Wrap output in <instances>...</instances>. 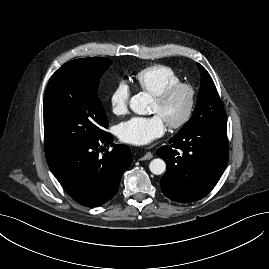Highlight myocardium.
Returning a JSON list of instances; mask_svg holds the SVG:
<instances>
[{"instance_id": "myocardium-1", "label": "myocardium", "mask_w": 269, "mask_h": 269, "mask_svg": "<svg viewBox=\"0 0 269 269\" xmlns=\"http://www.w3.org/2000/svg\"><path fill=\"white\" fill-rule=\"evenodd\" d=\"M181 89L188 92V104L184 113L178 119L165 121L167 126L172 129L181 128L190 120L196 104V90L194 86L190 83L178 82L165 87L159 93L153 95L155 101L163 104L166 103L176 91Z\"/></svg>"}]
</instances>
